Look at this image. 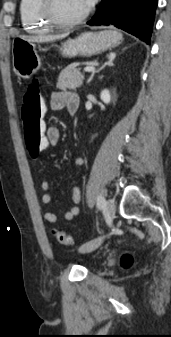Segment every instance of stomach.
<instances>
[{"label": "stomach", "mask_w": 171, "mask_h": 337, "mask_svg": "<svg viewBox=\"0 0 171 337\" xmlns=\"http://www.w3.org/2000/svg\"><path fill=\"white\" fill-rule=\"evenodd\" d=\"M121 33L114 30L86 32L76 39H70L62 46L64 56L95 55L118 46L122 42ZM13 69L23 79L30 78L41 67V59L35 43L15 38L12 45Z\"/></svg>", "instance_id": "0dacf381"}]
</instances>
